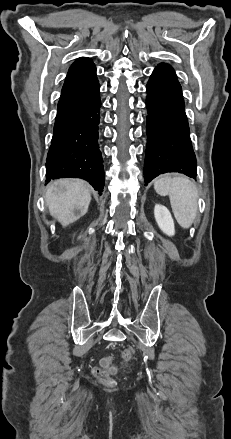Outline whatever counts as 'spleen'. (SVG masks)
<instances>
[{
  "label": "spleen",
  "instance_id": "obj_1",
  "mask_svg": "<svg viewBox=\"0 0 231 439\" xmlns=\"http://www.w3.org/2000/svg\"><path fill=\"white\" fill-rule=\"evenodd\" d=\"M154 189L161 196H169L176 220L183 228H189L198 210L195 184L184 176H163L155 181Z\"/></svg>",
  "mask_w": 231,
  "mask_h": 439
}]
</instances>
